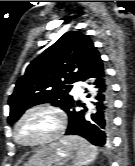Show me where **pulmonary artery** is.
I'll return each mask as SVG.
<instances>
[{
  "label": "pulmonary artery",
  "instance_id": "e3ab8cb5",
  "mask_svg": "<svg viewBox=\"0 0 135 166\" xmlns=\"http://www.w3.org/2000/svg\"><path fill=\"white\" fill-rule=\"evenodd\" d=\"M73 93H74L76 96H78V95L81 94V88H80L79 84L76 83V84L74 85V87H73Z\"/></svg>",
  "mask_w": 135,
  "mask_h": 166
}]
</instances>
